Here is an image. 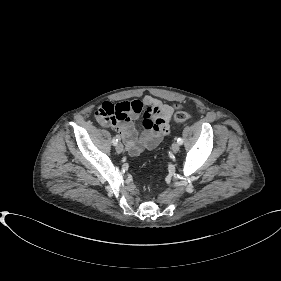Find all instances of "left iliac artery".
Returning <instances> with one entry per match:
<instances>
[{
	"label": "left iliac artery",
	"instance_id": "obj_1",
	"mask_svg": "<svg viewBox=\"0 0 281 281\" xmlns=\"http://www.w3.org/2000/svg\"><path fill=\"white\" fill-rule=\"evenodd\" d=\"M177 142L181 145L183 143V139L182 138H178Z\"/></svg>",
	"mask_w": 281,
	"mask_h": 281
}]
</instances>
